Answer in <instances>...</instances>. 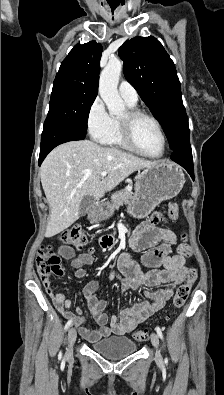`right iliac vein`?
I'll return each instance as SVG.
<instances>
[{
  "label": "right iliac vein",
  "instance_id": "obj_1",
  "mask_svg": "<svg viewBox=\"0 0 224 395\" xmlns=\"http://www.w3.org/2000/svg\"><path fill=\"white\" fill-rule=\"evenodd\" d=\"M77 332L74 327H71L68 331V346L66 350V356L71 357L73 355V346L76 341Z\"/></svg>",
  "mask_w": 224,
  "mask_h": 395
}]
</instances>
